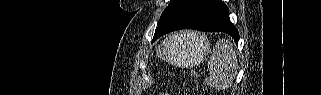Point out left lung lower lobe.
<instances>
[{
    "label": "left lung lower lobe",
    "instance_id": "obj_1",
    "mask_svg": "<svg viewBox=\"0 0 321 95\" xmlns=\"http://www.w3.org/2000/svg\"><path fill=\"white\" fill-rule=\"evenodd\" d=\"M180 29L222 31L235 42L239 39L237 29L230 22L229 9L221 0H173L158 23L152 42Z\"/></svg>",
    "mask_w": 321,
    "mask_h": 95
}]
</instances>
